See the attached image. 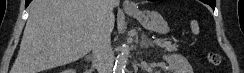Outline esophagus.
<instances>
[{
    "label": "esophagus",
    "instance_id": "esophagus-1",
    "mask_svg": "<svg viewBox=\"0 0 244 73\" xmlns=\"http://www.w3.org/2000/svg\"><path fill=\"white\" fill-rule=\"evenodd\" d=\"M123 8L124 10H134L136 6L133 2L125 0L123 3Z\"/></svg>",
    "mask_w": 244,
    "mask_h": 73
}]
</instances>
